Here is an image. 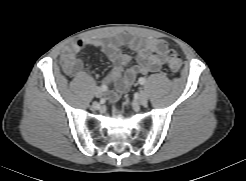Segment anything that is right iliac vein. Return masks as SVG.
<instances>
[{
	"instance_id": "63e3f726",
	"label": "right iliac vein",
	"mask_w": 246,
	"mask_h": 181,
	"mask_svg": "<svg viewBox=\"0 0 246 181\" xmlns=\"http://www.w3.org/2000/svg\"><path fill=\"white\" fill-rule=\"evenodd\" d=\"M95 96L97 98H101L103 96V92H102V90L100 88H96L95 89Z\"/></svg>"
}]
</instances>
